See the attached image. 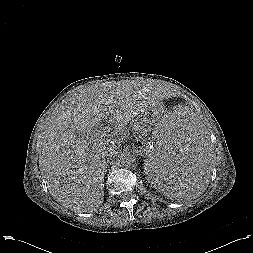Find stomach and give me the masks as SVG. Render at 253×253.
Returning a JSON list of instances; mask_svg holds the SVG:
<instances>
[{
  "label": "stomach",
  "mask_w": 253,
  "mask_h": 253,
  "mask_svg": "<svg viewBox=\"0 0 253 253\" xmlns=\"http://www.w3.org/2000/svg\"><path fill=\"white\" fill-rule=\"evenodd\" d=\"M140 119L142 122L147 124H156L158 121L163 119L161 118V110L159 107L152 105L147 108H145L140 113Z\"/></svg>",
  "instance_id": "obj_1"
}]
</instances>
